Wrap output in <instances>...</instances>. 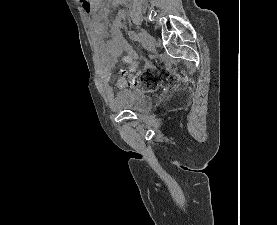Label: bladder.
Wrapping results in <instances>:
<instances>
[{
  "instance_id": "bladder-1",
  "label": "bladder",
  "mask_w": 277,
  "mask_h": 225,
  "mask_svg": "<svg viewBox=\"0 0 277 225\" xmlns=\"http://www.w3.org/2000/svg\"><path fill=\"white\" fill-rule=\"evenodd\" d=\"M113 107L116 111H131L136 114H145L152 107V99L143 92L128 89L122 91L121 96Z\"/></svg>"
}]
</instances>
